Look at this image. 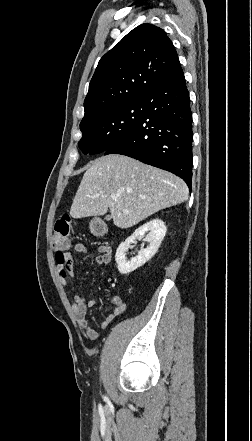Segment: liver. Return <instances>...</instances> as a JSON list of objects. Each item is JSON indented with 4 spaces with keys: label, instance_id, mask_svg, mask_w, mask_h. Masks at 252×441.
Instances as JSON below:
<instances>
[{
    "label": "liver",
    "instance_id": "liver-1",
    "mask_svg": "<svg viewBox=\"0 0 252 441\" xmlns=\"http://www.w3.org/2000/svg\"><path fill=\"white\" fill-rule=\"evenodd\" d=\"M188 194L186 183L174 174L112 154L93 161L84 173L70 215L77 219L102 216L110 209L114 225L126 229L185 202Z\"/></svg>",
    "mask_w": 252,
    "mask_h": 441
}]
</instances>
